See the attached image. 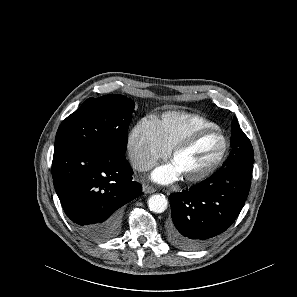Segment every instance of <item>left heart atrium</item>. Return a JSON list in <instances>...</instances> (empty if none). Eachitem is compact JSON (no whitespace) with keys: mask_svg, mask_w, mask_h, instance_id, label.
Listing matches in <instances>:
<instances>
[{"mask_svg":"<svg viewBox=\"0 0 297 297\" xmlns=\"http://www.w3.org/2000/svg\"><path fill=\"white\" fill-rule=\"evenodd\" d=\"M180 176V172L173 163L160 166L151 174L152 180L161 184L171 183L177 180Z\"/></svg>","mask_w":297,"mask_h":297,"instance_id":"39dd6f15","label":"left heart atrium"}]
</instances>
